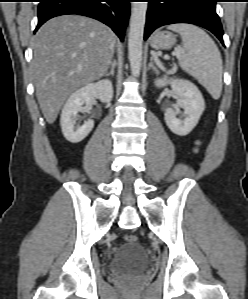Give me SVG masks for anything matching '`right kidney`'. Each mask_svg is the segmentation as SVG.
Masks as SVG:
<instances>
[{"instance_id": "1", "label": "right kidney", "mask_w": 248, "mask_h": 299, "mask_svg": "<svg viewBox=\"0 0 248 299\" xmlns=\"http://www.w3.org/2000/svg\"><path fill=\"white\" fill-rule=\"evenodd\" d=\"M95 98L103 103L112 100L113 87L111 81L100 80L85 85L72 93L63 106L60 124L64 137L71 143L82 141L93 129L94 121L92 119H88L81 126H75V124L78 113L90 110Z\"/></svg>"}]
</instances>
